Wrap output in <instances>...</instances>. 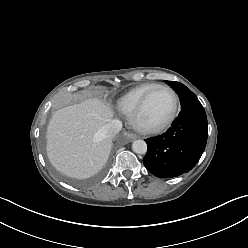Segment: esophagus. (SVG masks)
Here are the masks:
<instances>
[{
	"label": "esophagus",
	"mask_w": 248,
	"mask_h": 248,
	"mask_svg": "<svg viewBox=\"0 0 248 248\" xmlns=\"http://www.w3.org/2000/svg\"><path fill=\"white\" fill-rule=\"evenodd\" d=\"M127 137H128L130 140H134V139H136V138H137V135H135V134H133V133L128 132V133H127Z\"/></svg>",
	"instance_id": "1"
}]
</instances>
